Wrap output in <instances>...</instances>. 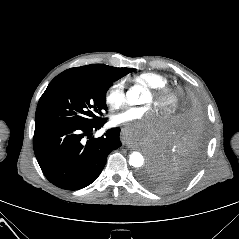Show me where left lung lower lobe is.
Listing matches in <instances>:
<instances>
[{
	"mask_svg": "<svg viewBox=\"0 0 239 239\" xmlns=\"http://www.w3.org/2000/svg\"><path fill=\"white\" fill-rule=\"evenodd\" d=\"M206 121L198 96H182L170 129L153 151L149 171L175 188L191 179L206 143Z\"/></svg>",
	"mask_w": 239,
	"mask_h": 239,
	"instance_id": "1",
	"label": "left lung lower lobe"
}]
</instances>
